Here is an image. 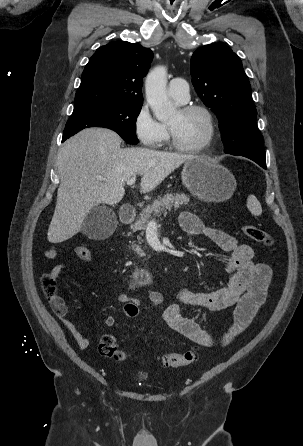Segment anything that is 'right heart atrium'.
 Returning a JSON list of instances; mask_svg holds the SVG:
<instances>
[{
  "instance_id": "obj_1",
  "label": "right heart atrium",
  "mask_w": 303,
  "mask_h": 446,
  "mask_svg": "<svg viewBox=\"0 0 303 446\" xmlns=\"http://www.w3.org/2000/svg\"><path fill=\"white\" fill-rule=\"evenodd\" d=\"M133 128L139 142L149 148L160 146L167 138L166 127L154 118L145 102L134 116Z\"/></svg>"
}]
</instances>
